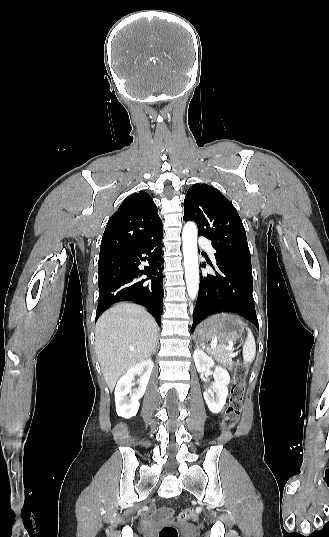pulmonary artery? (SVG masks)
Returning a JSON list of instances; mask_svg holds the SVG:
<instances>
[{
  "instance_id": "1",
  "label": "pulmonary artery",
  "mask_w": 329,
  "mask_h": 537,
  "mask_svg": "<svg viewBox=\"0 0 329 537\" xmlns=\"http://www.w3.org/2000/svg\"><path fill=\"white\" fill-rule=\"evenodd\" d=\"M199 244L201 246H203L204 248H206L210 254L214 253V249L212 248V246H211V244H210L208 239H206L204 237H200L199 238Z\"/></svg>"
}]
</instances>
